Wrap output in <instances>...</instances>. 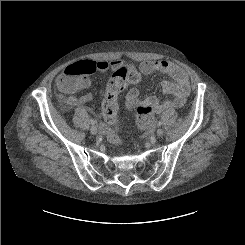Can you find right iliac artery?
Segmentation results:
<instances>
[{
  "label": "right iliac artery",
  "instance_id": "82829eb1",
  "mask_svg": "<svg viewBox=\"0 0 245 245\" xmlns=\"http://www.w3.org/2000/svg\"><path fill=\"white\" fill-rule=\"evenodd\" d=\"M90 122H91L92 125L95 124V121L93 119H90Z\"/></svg>",
  "mask_w": 245,
  "mask_h": 245
}]
</instances>
